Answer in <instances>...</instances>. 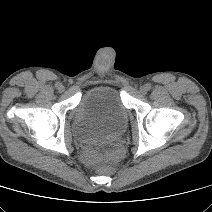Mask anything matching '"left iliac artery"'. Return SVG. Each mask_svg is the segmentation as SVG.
Wrapping results in <instances>:
<instances>
[{
  "mask_svg": "<svg viewBox=\"0 0 212 212\" xmlns=\"http://www.w3.org/2000/svg\"><path fill=\"white\" fill-rule=\"evenodd\" d=\"M146 87H147L148 90L151 89V85L150 84H147Z\"/></svg>",
  "mask_w": 212,
  "mask_h": 212,
  "instance_id": "44dca946",
  "label": "left iliac artery"
}]
</instances>
